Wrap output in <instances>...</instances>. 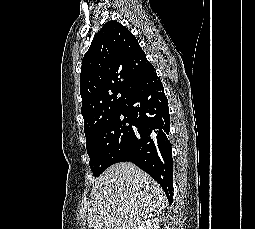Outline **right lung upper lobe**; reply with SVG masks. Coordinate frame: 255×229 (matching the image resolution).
<instances>
[{
    "instance_id": "right-lung-upper-lobe-1",
    "label": "right lung upper lobe",
    "mask_w": 255,
    "mask_h": 229,
    "mask_svg": "<svg viewBox=\"0 0 255 229\" xmlns=\"http://www.w3.org/2000/svg\"><path fill=\"white\" fill-rule=\"evenodd\" d=\"M152 68L125 26L117 21L104 24L82 60L81 114L87 139L103 122L123 111L138 79Z\"/></svg>"
}]
</instances>
